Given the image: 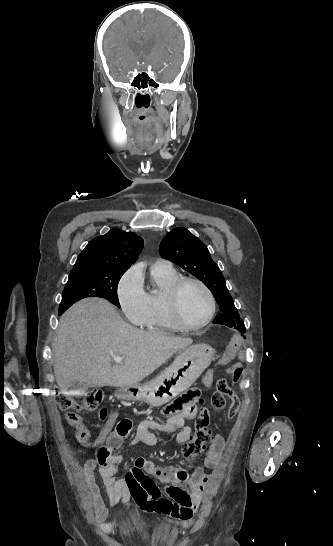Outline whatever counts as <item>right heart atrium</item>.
<instances>
[{
    "instance_id": "1",
    "label": "right heart atrium",
    "mask_w": 333,
    "mask_h": 546,
    "mask_svg": "<svg viewBox=\"0 0 333 546\" xmlns=\"http://www.w3.org/2000/svg\"><path fill=\"white\" fill-rule=\"evenodd\" d=\"M116 295L126 319L133 324H142L147 314L148 303L141 276L135 268L128 269L121 277Z\"/></svg>"
}]
</instances>
